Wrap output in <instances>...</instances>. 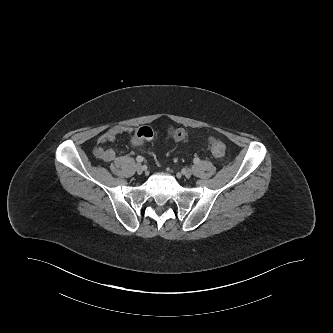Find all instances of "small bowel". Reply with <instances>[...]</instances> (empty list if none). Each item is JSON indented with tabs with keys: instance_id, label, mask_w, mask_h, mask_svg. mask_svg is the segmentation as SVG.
I'll list each match as a JSON object with an SVG mask.
<instances>
[{
	"instance_id": "obj_1",
	"label": "small bowel",
	"mask_w": 333,
	"mask_h": 333,
	"mask_svg": "<svg viewBox=\"0 0 333 333\" xmlns=\"http://www.w3.org/2000/svg\"><path fill=\"white\" fill-rule=\"evenodd\" d=\"M134 129L129 126H115L102 134L93 149V154L104 162H111L115 159V152L112 149L105 148V145L118 139L122 135L132 134Z\"/></svg>"
}]
</instances>
